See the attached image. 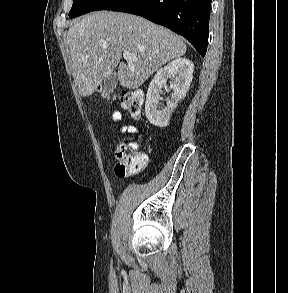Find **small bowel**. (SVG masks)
<instances>
[{
  "instance_id": "small-bowel-1",
  "label": "small bowel",
  "mask_w": 288,
  "mask_h": 293,
  "mask_svg": "<svg viewBox=\"0 0 288 293\" xmlns=\"http://www.w3.org/2000/svg\"><path fill=\"white\" fill-rule=\"evenodd\" d=\"M112 117L115 121H119V120H121L122 115L119 111H114ZM121 132L128 133V134H137L138 129L133 125H124L121 128Z\"/></svg>"
}]
</instances>
